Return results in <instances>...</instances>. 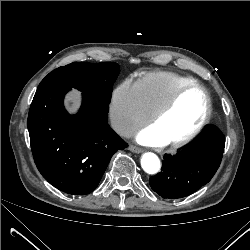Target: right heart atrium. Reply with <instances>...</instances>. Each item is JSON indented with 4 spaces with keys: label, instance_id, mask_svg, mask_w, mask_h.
<instances>
[{
    "label": "right heart atrium",
    "instance_id": "d8ad5b80",
    "mask_svg": "<svg viewBox=\"0 0 250 250\" xmlns=\"http://www.w3.org/2000/svg\"><path fill=\"white\" fill-rule=\"evenodd\" d=\"M151 119L136 83L130 79L116 86L111 95L110 120L120 136H129Z\"/></svg>",
    "mask_w": 250,
    "mask_h": 250
}]
</instances>
